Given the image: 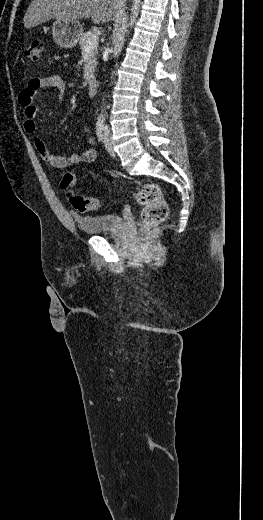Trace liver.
<instances>
[{
	"label": "liver",
	"mask_w": 263,
	"mask_h": 520,
	"mask_svg": "<svg viewBox=\"0 0 263 520\" xmlns=\"http://www.w3.org/2000/svg\"><path fill=\"white\" fill-rule=\"evenodd\" d=\"M125 0H32L24 16V26L33 28L50 19L78 21L91 18L93 23L117 19Z\"/></svg>",
	"instance_id": "6515ba94"
}]
</instances>
